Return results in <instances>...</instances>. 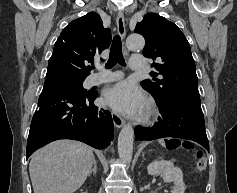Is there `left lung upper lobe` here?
Masks as SVG:
<instances>
[{"label": "left lung upper lobe", "mask_w": 237, "mask_h": 193, "mask_svg": "<svg viewBox=\"0 0 237 193\" xmlns=\"http://www.w3.org/2000/svg\"><path fill=\"white\" fill-rule=\"evenodd\" d=\"M135 32L145 38L144 56L156 60L152 80L141 85L157 103L200 102L194 59L189 42L180 29L166 18L148 13L136 25ZM160 75L161 78H155Z\"/></svg>", "instance_id": "obj_1"}]
</instances>
